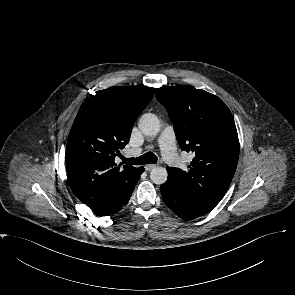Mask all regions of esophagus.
<instances>
[{"label":"esophagus","instance_id":"34e87169","mask_svg":"<svg viewBox=\"0 0 295 295\" xmlns=\"http://www.w3.org/2000/svg\"><path fill=\"white\" fill-rule=\"evenodd\" d=\"M155 167H156V165H154V164H148V165H145L144 168H145L146 171H151Z\"/></svg>","mask_w":295,"mask_h":295}]
</instances>
